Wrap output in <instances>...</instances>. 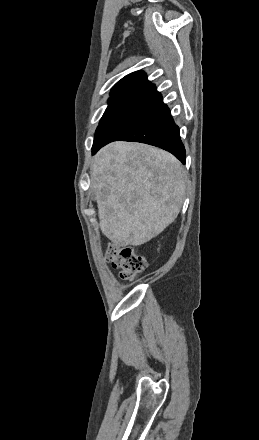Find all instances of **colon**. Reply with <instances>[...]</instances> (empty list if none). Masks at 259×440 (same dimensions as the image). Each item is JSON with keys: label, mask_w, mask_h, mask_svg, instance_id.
Instances as JSON below:
<instances>
[{"label": "colon", "mask_w": 259, "mask_h": 440, "mask_svg": "<svg viewBox=\"0 0 259 440\" xmlns=\"http://www.w3.org/2000/svg\"><path fill=\"white\" fill-rule=\"evenodd\" d=\"M106 261L120 269V276L124 280H132L139 276L146 268V259L137 254L129 245L110 244L106 250Z\"/></svg>", "instance_id": "5ec220e1"}]
</instances>
